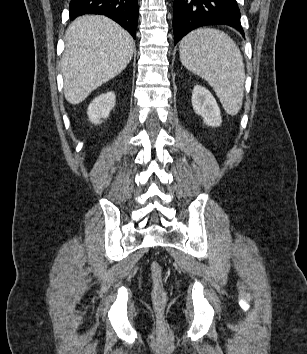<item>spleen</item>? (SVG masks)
Masks as SVG:
<instances>
[{"instance_id": "obj_1", "label": "spleen", "mask_w": 307, "mask_h": 354, "mask_svg": "<svg viewBox=\"0 0 307 354\" xmlns=\"http://www.w3.org/2000/svg\"><path fill=\"white\" fill-rule=\"evenodd\" d=\"M181 63L205 79L229 115H236L244 96L245 68L241 52L224 32L200 28L186 35L179 45Z\"/></svg>"}]
</instances>
